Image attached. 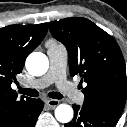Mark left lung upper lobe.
<instances>
[{"mask_svg":"<svg viewBox=\"0 0 127 127\" xmlns=\"http://www.w3.org/2000/svg\"><path fill=\"white\" fill-rule=\"evenodd\" d=\"M52 35L69 54L72 76L79 74L87 86L84 103L120 116L127 97V78L121 50L108 33L86 18L74 17L49 23Z\"/></svg>","mask_w":127,"mask_h":127,"instance_id":"left-lung-upper-lobe-1","label":"left lung upper lobe"}]
</instances>
